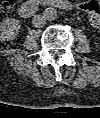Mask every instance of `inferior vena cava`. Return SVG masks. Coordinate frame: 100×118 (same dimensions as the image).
<instances>
[{"mask_svg": "<svg viewBox=\"0 0 100 118\" xmlns=\"http://www.w3.org/2000/svg\"><path fill=\"white\" fill-rule=\"evenodd\" d=\"M32 24L36 28L44 27L46 25V18L44 17V15H35L33 17Z\"/></svg>", "mask_w": 100, "mask_h": 118, "instance_id": "obj_1", "label": "inferior vena cava"}]
</instances>
